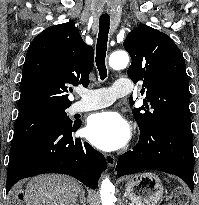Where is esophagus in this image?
<instances>
[{"label":"esophagus","mask_w":199,"mask_h":205,"mask_svg":"<svg viewBox=\"0 0 199 205\" xmlns=\"http://www.w3.org/2000/svg\"><path fill=\"white\" fill-rule=\"evenodd\" d=\"M105 159L109 167H113L116 163V159L112 154H105Z\"/></svg>","instance_id":"obj_1"}]
</instances>
